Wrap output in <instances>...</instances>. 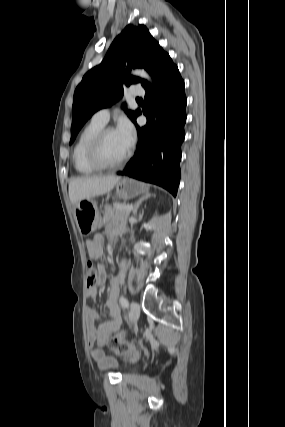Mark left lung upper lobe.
I'll list each match as a JSON object with an SVG mask.
<instances>
[{
	"mask_svg": "<svg viewBox=\"0 0 285 427\" xmlns=\"http://www.w3.org/2000/svg\"><path fill=\"white\" fill-rule=\"evenodd\" d=\"M166 55L144 25H128L114 39L101 64L87 72L75 90L70 144L97 110L111 106L122 97L124 85H148L146 80L131 76L130 69L145 68L153 77ZM138 112L126 110L132 121Z\"/></svg>",
	"mask_w": 285,
	"mask_h": 427,
	"instance_id": "1",
	"label": "left lung upper lobe"
}]
</instances>
